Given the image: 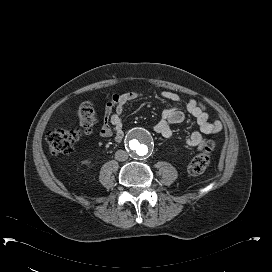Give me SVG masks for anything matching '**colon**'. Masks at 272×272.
<instances>
[{
  "label": "colon",
  "mask_w": 272,
  "mask_h": 272,
  "mask_svg": "<svg viewBox=\"0 0 272 272\" xmlns=\"http://www.w3.org/2000/svg\"><path fill=\"white\" fill-rule=\"evenodd\" d=\"M78 125L74 128L60 127L47 133L46 139L50 153L54 156L69 154L75 143L83 134H89L96 123L95 110L90 102H83L77 109ZM215 143L209 141L202 152L197 154L189 163L188 170L192 175L206 171L210 164V153Z\"/></svg>",
  "instance_id": "1"
}]
</instances>
